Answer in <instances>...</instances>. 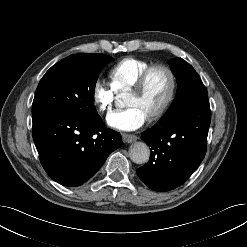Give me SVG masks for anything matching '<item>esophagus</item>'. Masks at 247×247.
Segmentation results:
<instances>
[{
    "mask_svg": "<svg viewBox=\"0 0 247 247\" xmlns=\"http://www.w3.org/2000/svg\"><path fill=\"white\" fill-rule=\"evenodd\" d=\"M122 139L126 143H132V142L137 140V136L134 135V134L123 133L122 134Z\"/></svg>",
    "mask_w": 247,
    "mask_h": 247,
    "instance_id": "esophagus-1",
    "label": "esophagus"
}]
</instances>
